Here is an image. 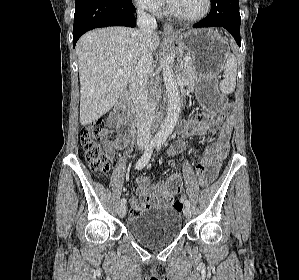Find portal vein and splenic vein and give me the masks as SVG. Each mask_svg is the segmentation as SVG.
<instances>
[{
	"label": "portal vein and splenic vein",
	"mask_w": 299,
	"mask_h": 280,
	"mask_svg": "<svg viewBox=\"0 0 299 280\" xmlns=\"http://www.w3.org/2000/svg\"><path fill=\"white\" fill-rule=\"evenodd\" d=\"M191 60V58L190 57H184V61L185 62H188V61H190ZM124 73V71L123 70H119V72H118V74L117 75H121V74H123Z\"/></svg>",
	"instance_id": "18ae733b"
}]
</instances>
